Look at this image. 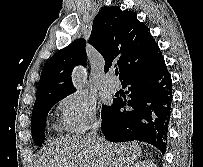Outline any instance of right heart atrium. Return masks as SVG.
Instances as JSON below:
<instances>
[{
	"label": "right heart atrium",
	"mask_w": 203,
	"mask_h": 167,
	"mask_svg": "<svg viewBox=\"0 0 203 167\" xmlns=\"http://www.w3.org/2000/svg\"><path fill=\"white\" fill-rule=\"evenodd\" d=\"M96 101L84 92H73L58 103L63 128L80 134L98 124Z\"/></svg>",
	"instance_id": "1"
}]
</instances>
